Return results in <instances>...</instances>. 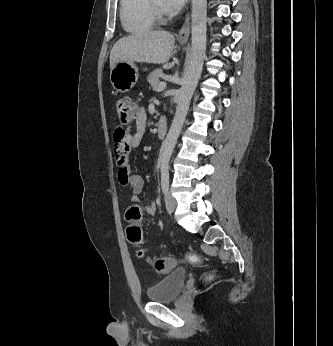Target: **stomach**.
Masks as SVG:
<instances>
[{
  "label": "stomach",
  "instance_id": "stomach-1",
  "mask_svg": "<svg viewBox=\"0 0 333 346\" xmlns=\"http://www.w3.org/2000/svg\"><path fill=\"white\" fill-rule=\"evenodd\" d=\"M137 80L138 69L134 62H118L110 71V82L121 93L130 91Z\"/></svg>",
  "mask_w": 333,
  "mask_h": 346
}]
</instances>
